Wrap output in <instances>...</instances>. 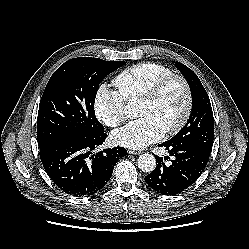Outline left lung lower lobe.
<instances>
[{
  "instance_id": "0a47b994",
  "label": "left lung lower lobe",
  "mask_w": 249,
  "mask_h": 249,
  "mask_svg": "<svg viewBox=\"0 0 249 249\" xmlns=\"http://www.w3.org/2000/svg\"><path fill=\"white\" fill-rule=\"evenodd\" d=\"M160 146L168 150L171 164L166 165L162 157H157L158 164L152 173L145 176V182L158 193L177 195L191 186L204 171L210 153L193 145L170 141ZM169 156L164 159H170Z\"/></svg>"
}]
</instances>
